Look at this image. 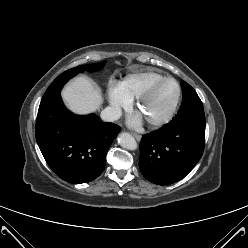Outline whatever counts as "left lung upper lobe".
<instances>
[{
  "label": "left lung upper lobe",
  "mask_w": 248,
  "mask_h": 248,
  "mask_svg": "<svg viewBox=\"0 0 248 248\" xmlns=\"http://www.w3.org/2000/svg\"><path fill=\"white\" fill-rule=\"evenodd\" d=\"M183 92V100L176 116H188L196 111L203 110V104L196 91L183 80L180 81Z\"/></svg>",
  "instance_id": "obj_1"
}]
</instances>
